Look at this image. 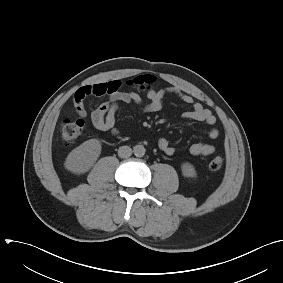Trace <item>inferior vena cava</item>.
<instances>
[{
	"mask_svg": "<svg viewBox=\"0 0 283 283\" xmlns=\"http://www.w3.org/2000/svg\"><path fill=\"white\" fill-rule=\"evenodd\" d=\"M132 155V149L129 146H121L118 150L120 158H128Z\"/></svg>",
	"mask_w": 283,
	"mask_h": 283,
	"instance_id": "inferior-vena-cava-1",
	"label": "inferior vena cava"
}]
</instances>
